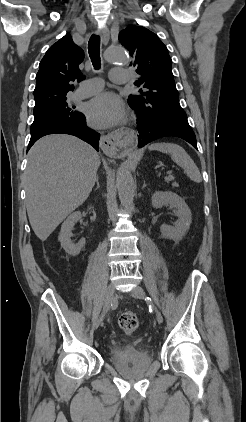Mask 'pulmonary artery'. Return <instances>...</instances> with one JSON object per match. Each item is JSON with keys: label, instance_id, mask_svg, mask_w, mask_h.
Instances as JSON below:
<instances>
[{"label": "pulmonary artery", "instance_id": "pulmonary-artery-1", "mask_svg": "<svg viewBox=\"0 0 246 422\" xmlns=\"http://www.w3.org/2000/svg\"><path fill=\"white\" fill-rule=\"evenodd\" d=\"M111 80L117 84H125L129 81V73L125 69L115 68L111 71ZM103 88V81L100 78H91L83 81L74 92L73 98L84 99L98 93Z\"/></svg>", "mask_w": 246, "mask_h": 422}]
</instances>
